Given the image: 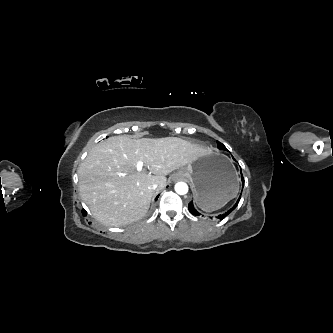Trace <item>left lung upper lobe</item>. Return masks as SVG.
<instances>
[{"mask_svg":"<svg viewBox=\"0 0 333 333\" xmlns=\"http://www.w3.org/2000/svg\"><path fill=\"white\" fill-rule=\"evenodd\" d=\"M217 143H218V148L219 149L227 151L226 147L221 142L218 141Z\"/></svg>","mask_w":333,"mask_h":333,"instance_id":"5c2ea615","label":"left lung upper lobe"}]
</instances>
